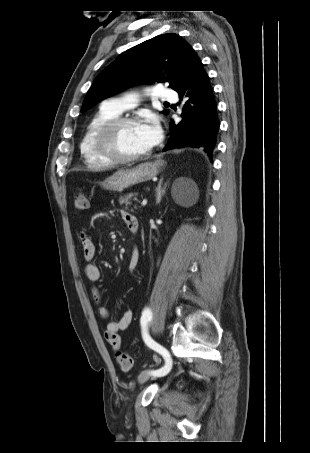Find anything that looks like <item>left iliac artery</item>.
<instances>
[{
  "instance_id": "left-iliac-artery-1",
  "label": "left iliac artery",
  "mask_w": 310,
  "mask_h": 453,
  "mask_svg": "<svg viewBox=\"0 0 310 453\" xmlns=\"http://www.w3.org/2000/svg\"><path fill=\"white\" fill-rule=\"evenodd\" d=\"M152 319V312L149 308H145L141 316L142 336L145 343L153 350L161 354L165 360V365L157 370L150 372L155 377H162L168 374L172 367V360L169 352L160 344L155 342L147 333V323Z\"/></svg>"
}]
</instances>
